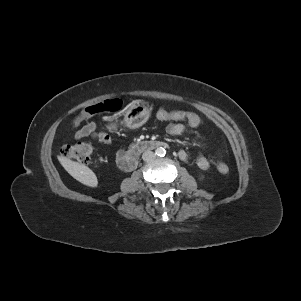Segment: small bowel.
Wrapping results in <instances>:
<instances>
[{
	"label": "small bowel",
	"instance_id": "1",
	"mask_svg": "<svg viewBox=\"0 0 301 301\" xmlns=\"http://www.w3.org/2000/svg\"><path fill=\"white\" fill-rule=\"evenodd\" d=\"M171 113L172 112L166 110H163L161 113L157 112V118L161 121L168 122L166 130L170 135L179 136L184 134L186 130L185 124L182 123V121L184 120L182 118L169 117V114ZM88 136H91L92 138L96 139L101 144H104L106 146H110L113 143L111 136L107 132L102 130H97V123L95 121H91L85 124L84 126H82L81 128L77 129L73 135L74 139L77 140ZM125 153L126 152L124 150H119L115 154V162L119 167H120V162L123 156L125 155ZM178 155L182 161H188V154L186 151L180 150ZM218 155H221V153L219 152ZM195 163L198 166V168H200L201 170L206 171L210 168V162L204 156H198L195 160Z\"/></svg>",
	"mask_w": 301,
	"mask_h": 301
}]
</instances>
